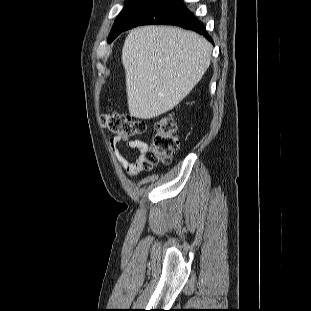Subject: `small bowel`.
Wrapping results in <instances>:
<instances>
[{"mask_svg":"<svg viewBox=\"0 0 311 311\" xmlns=\"http://www.w3.org/2000/svg\"><path fill=\"white\" fill-rule=\"evenodd\" d=\"M109 143L119 165L129 176H135L142 171V164L148 152V144L146 142L139 139L126 140L124 136L116 135L110 139ZM120 143H125L130 149H136L138 151L137 157L132 161L128 160L118 149Z\"/></svg>","mask_w":311,"mask_h":311,"instance_id":"small-bowel-1","label":"small bowel"}]
</instances>
